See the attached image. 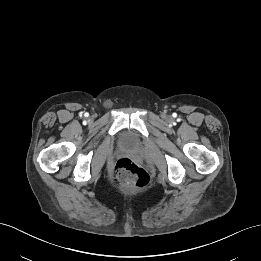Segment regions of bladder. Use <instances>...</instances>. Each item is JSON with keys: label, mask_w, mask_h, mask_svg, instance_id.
Listing matches in <instances>:
<instances>
[{"label": "bladder", "mask_w": 261, "mask_h": 261, "mask_svg": "<svg viewBox=\"0 0 261 261\" xmlns=\"http://www.w3.org/2000/svg\"><path fill=\"white\" fill-rule=\"evenodd\" d=\"M120 144L127 149H134L138 146V140L132 130H124L120 135Z\"/></svg>", "instance_id": "obj_1"}]
</instances>
